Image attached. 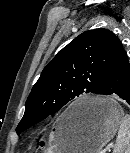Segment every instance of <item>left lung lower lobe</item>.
<instances>
[{
  "label": "left lung lower lobe",
  "instance_id": "left-lung-lower-lobe-1",
  "mask_svg": "<svg viewBox=\"0 0 130 153\" xmlns=\"http://www.w3.org/2000/svg\"><path fill=\"white\" fill-rule=\"evenodd\" d=\"M98 94L119 96L130 105V64L122 45L106 69ZM85 112L81 109L76 114Z\"/></svg>",
  "mask_w": 130,
  "mask_h": 153
}]
</instances>
